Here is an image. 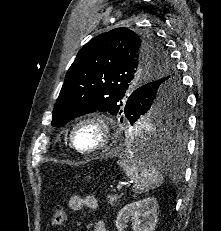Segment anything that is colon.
Segmentation results:
<instances>
[{
    "label": "colon",
    "mask_w": 221,
    "mask_h": 231,
    "mask_svg": "<svg viewBox=\"0 0 221 231\" xmlns=\"http://www.w3.org/2000/svg\"><path fill=\"white\" fill-rule=\"evenodd\" d=\"M66 220V213L61 205H57L53 210L51 216V225L54 227H61L64 225Z\"/></svg>",
    "instance_id": "5ec220e1"
}]
</instances>
